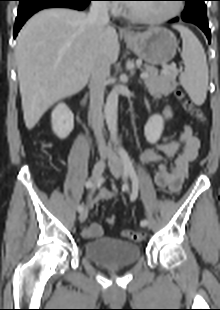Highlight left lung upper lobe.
Segmentation results:
<instances>
[{"instance_id": "5c2ea615", "label": "left lung upper lobe", "mask_w": 220, "mask_h": 310, "mask_svg": "<svg viewBox=\"0 0 220 310\" xmlns=\"http://www.w3.org/2000/svg\"><path fill=\"white\" fill-rule=\"evenodd\" d=\"M186 2L182 18L207 21L205 0H183Z\"/></svg>"}]
</instances>
